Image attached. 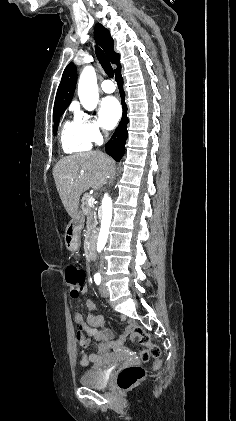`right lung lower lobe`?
<instances>
[{
  "label": "right lung lower lobe",
  "instance_id": "98d812e1",
  "mask_svg": "<svg viewBox=\"0 0 236 421\" xmlns=\"http://www.w3.org/2000/svg\"><path fill=\"white\" fill-rule=\"evenodd\" d=\"M116 74V81L118 84V88L120 91V96L122 99V106H123V117L122 120L116 129L115 133L111 137V140L105 145V150L108 155L113 157L116 161H120L124 152H125V143L127 140V106L125 104V93L123 91V79L121 77V67L118 71L115 72Z\"/></svg>",
  "mask_w": 236,
  "mask_h": 421
}]
</instances>
